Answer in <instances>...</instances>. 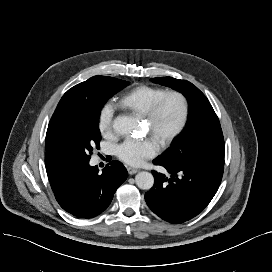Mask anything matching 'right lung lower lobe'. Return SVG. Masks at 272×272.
I'll return each instance as SVG.
<instances>
[{"mask_svg":"<svg viewBox=\"0 0 272 272\" xmlns=\"http://www.w3.org/2000/svg\"><path fill=\"white\" fill-rule=\"evenodd\" d=\"M47 174L60 206L78 218L101 214L127 178L126 168L118 161H111L102 173L89 161H75L58 164Z\"/></svg>","mask_w":272,"mask_h":272,"instance_id":"1","label":"right lung lower lobe"}]
</instances>
